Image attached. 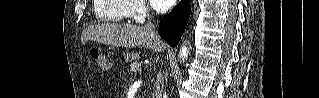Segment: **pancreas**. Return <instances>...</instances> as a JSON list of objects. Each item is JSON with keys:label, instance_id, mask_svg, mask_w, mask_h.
<instances>
[{"label": "pancreas", "instance_id": "obj_1", "mask_svg": "<svg viewBox=\"0 0 319 98\" xmlns=\"http://www.w3.org/2000/svg\"><path fill=\"white\" fill-rule=\"evenodd\" d=\"M126 61H133L138 58V54L136 52H127L124 54Z\"/></svg>", "mask_w": 319, "mask_h": 98}]
</instances>
